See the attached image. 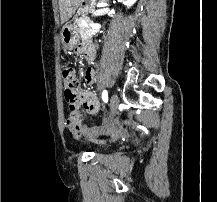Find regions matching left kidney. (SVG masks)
Listing matches in <instances>:
<instances>
[{"mask_svg":"<svg viewBox=\"0 0 217 202\" xmlns=\"http://www.w3.org/2000/svg\"><path fill=\"white\" fill-rule=\"evenodd\" d=\"M118 2H122V4H125L127 8H130V6H133L137 0H118Z\"/></svg>","mask_w":217,"mask_h":202,"instance_id":"obj_1","label":"left kidney"}]
</instances>
